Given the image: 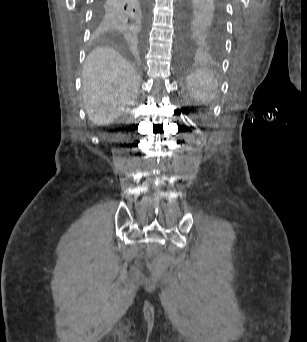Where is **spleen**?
<instances>
[{"label":"spleen","instance_id":"1","mask_svg":"<svg viewBox=\"0 0 307 342\" xmlns=\"http://www.w3.org/2000/svg\"><path fill=\"white\" fill-rule=\"evenodd\" d=\"M193 77H188L187 82L190 85L191 90H193V98L206 104L210 100L215 98V90L218 86V82L212 74V72H207V70H193L191 72Z\"/></svg>","mask_w":307,"mask_h":342}]
</instances>
